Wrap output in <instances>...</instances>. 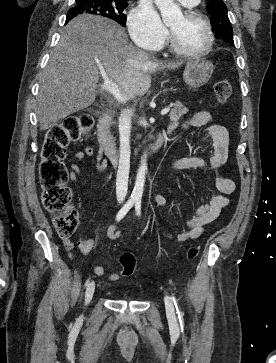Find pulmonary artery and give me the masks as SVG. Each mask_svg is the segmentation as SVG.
Instances as JSON below:
<instances>
[{
	"label": "pulmonary artery",
	"mask_w": 276,
	"mask_h": 363,
	"mask_svg": "<svg viewBox=\"0 0 276 363\" xmlns=\"http://www.w3.org/2000/svg\"><path fill=\"white\" fill-rule=\"evenodd\" d=\"M181 5L185 6V7H194L197 5L199 0H178Z\"/></svg>",
	"instance_id": "obj_1"
}]
</instances>
